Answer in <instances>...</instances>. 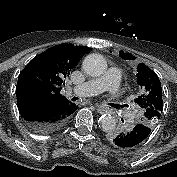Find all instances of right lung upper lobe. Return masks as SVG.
<instances>
[{
    "instance_id": "cb5924a9",
    "label": "right lung upper lobe",
    "mask_w": 177,
    "mask_h": 177,
    "mask_svg": "<svg viewBox=\"0 0 177 177\" xmlns=\"http://www.w3.org/2000/svg\"><path fill=\"white\" fill-rule=\"evenodd\" d=\"M90 48L60 44L34 57L18 76L16 96L70 102L60 94L65 79Z\"/></svg>"
}]
</instances>
